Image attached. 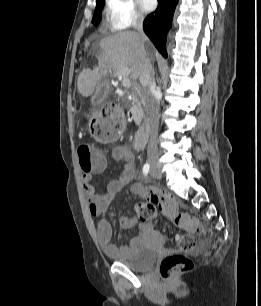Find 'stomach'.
Returning <instances> with one entry per match:
<instances>
[{
  "label": "stomach",
  "instance_id": "1",
  "mask_svg": "<svg viewBox=\"0 0 261 306\" xmlns=\"http://www.w3.org/2000/svg\"><path fill=\"white\" fill-rule=\"evenodd\" d=\"M100 117H101V112L97 111L92 115L91 121L96 120V122H98ZM122 126H124V121H122Z\"/></svg>",
  "mask_w": 261,
  "mask_h": 306
}]
</instances>
